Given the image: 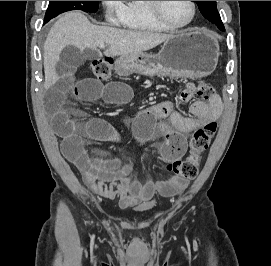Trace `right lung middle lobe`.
I'll return each mask as SVG.
<instances>
[{
    "instance_id": "dd1d6c3e",
    "label": "right lung middle lobe",
    "mask_w": 271,
    "mask_h": 266,
    "mask_svg": "<svg viewBox=\"0 0 271 266\" xmlns=\"http://www.w3.org/2000/svg\"><path fill=\"white\" fill-rule=\"evenodd\" d=\"M98 7L99 1H49V6L45 14V23L60 13L69 10H82L84 12L95 13Z\"/></svg>"
}]
</instances>
